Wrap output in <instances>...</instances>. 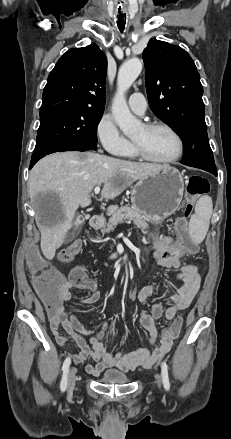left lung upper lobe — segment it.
Segmentation results:
<instances>
[{
    "mask_svg": "<svg viewBox=\"0 0 231 439\" xmlns=\"http://www.w3.org/2000/svg\"><path fill=\"white\" fill-rule=\"evenodd\" d=\"M143 60L150 108L180 135L184 144L181 163L216 169L204 117L203 87L193 59L179 46L151 39Z\"/></svg>",
    "mask_w": 231,
    "mask_h": 439,
    "instance_id": "obj_1",
    "label": "left lung upper lobe"
}]
</instances>
